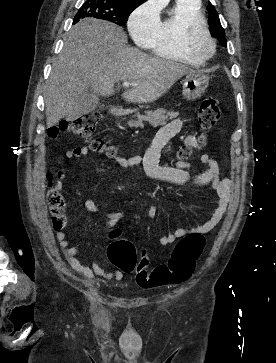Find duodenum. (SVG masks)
<instances>
[{"instance_id":"obj_1","label":"duodenum","mask_w":276,"mask_h":363,"mask_svg":"<svg viewBox=\"0 0 276 363\" xmlns=\"http://www.w3.org/2000/svg\"><path fill=\"white\" fill-rule=\"evenodd\" d=\"M109 112L112 116H116V117H121V116H124V114H125L124 110L120 107H111Z\"/></svg>"}]
</instances>
